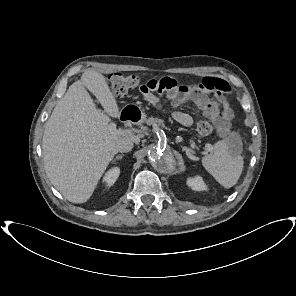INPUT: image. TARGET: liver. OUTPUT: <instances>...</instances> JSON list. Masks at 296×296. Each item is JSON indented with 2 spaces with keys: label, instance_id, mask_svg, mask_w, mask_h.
Instances as JSON below:
<instances>
[{
  "label": "liver",
  "instance_id": "6515ba94",
  "mask_svg": "<svg viewBox=\"0 0 296 296\" xmlns=\"http://www.w3.org/2000/svg\"><path fill=\"white\" fill-rule=\"evenodd\" d=\"M87 89L98 99L97 108ZM119 108L105 77L87 69L57 102L47 120L42 139L46 174L52 185L72 203H84L116 154L120 139L138 142L132 134L109 129L110 118Z\"/></svg>",
  "mask_w": 296,
  "mask_h": 296
}]
</instances>
